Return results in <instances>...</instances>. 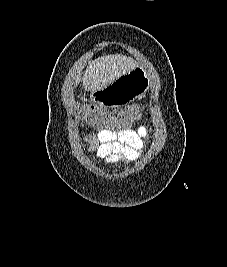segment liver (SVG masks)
I'll return each instance as SVG.
<instances>
[{
    "label": "liver",
    "instance_id": "1",
    "mask_svg": "<svg viewBox=\"0 0 227 267\" xmlns=\"http://www.w3.org/2000/svg\"><path fill=\"white\" fill-rule=\"evenodd\" d=\"M136 63L123 55H106L92 61L83 76V86L86 91H97V87H107L108 82H113V77H121L129 73ZM76 84L80 79L75 78Z\"/></svg>",
    "mask_w": 227,
    "mask_h": 267
}]
</instances>
